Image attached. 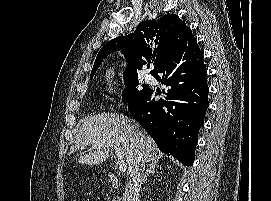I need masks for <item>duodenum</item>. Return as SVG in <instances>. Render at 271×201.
Listing matches in <instances>:
<instances>
[{
	"label": "duodenum",
	"mask_w": 271,
	"mask_h": 201,
	"mask_svg": "<svg viewBox=\"0 0 271 201\" xmlns=\"http://www.w3.org/2000/svg\"><path fill=\"white\" fill-rule=\"evenodd\" d=\"M107 180L113 188L118 189L121 187L120 181L113 174H108Z\"/></svg>",
	"instance_id": "410a0bca"
}]
</instances>
